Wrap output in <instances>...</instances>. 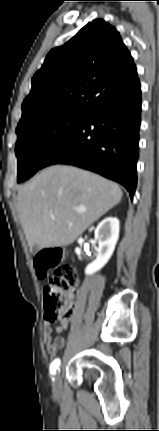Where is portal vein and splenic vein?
Here are the masks:
<instances>
[{
  "mask_svg": "<svg viewBox=\"0 0 159 431\" xmlns=\"http://www.w3.org/2000/svg\"><path fill=\"white\" fill-rule=\"evenodd\" d=\"M86 211H87V209H86V208H79V209H77V210H76V212H78V213H84V212H86ZM50 218L54 219V218H55V215H54V214H51V215H50Z\"/></svg>",
  "mask_w": 159,
  "mask_h": 431,
  "instance_id": "1",
  "label": "portal vein and splenic vein"
}]
</instances>
